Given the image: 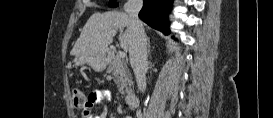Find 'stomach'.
<instances>
[{
	"label": "stomach",
	"instance_id": "0dacf381",
	"mask_svg": "<svg viewBox=\"0 0 273 118\" xmlns=\"http://www.w3.org/2000/svg\"><path fill=\"white\" fill-rule=\"evenodd\" d=\"M108 61V56L105 52H100L91 55H76L73 59L75 66L88 64L96 72H101L105 69Z\"/></svg>",
	"mask_w": 273,
	"mask_h": 118
}]
</instances>
